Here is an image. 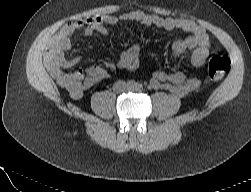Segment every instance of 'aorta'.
Segmentation results:
<instances>
[{
	"label": "aorta",
	"mask_w": 251,
	"mask_h": 192,
	"mask_svg": "<svg viewBox=\"0 0 251 192\" xmlns=\"http://www.w3.org/2000/svg\"><path fill=\"white\" fill-rule=\"evenodd\" d=\"M142 89V86H138L135 88L136 91H140Z\"/></svg>",
	"instance_id": "1"
}]
</instances>
